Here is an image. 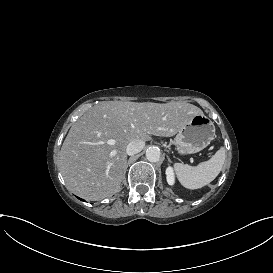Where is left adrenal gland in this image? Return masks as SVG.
Returning a JSON list of instances; mask_svg holds the SVG:
<instances>
[{
    "mask_svg": "<svg viewBox=\"0 0 273 273\" xmlns=\"http://www.w3.org/2000/svg\"><path fill=\"white\" fill-rule=\"evenodd\" d=\"M167 160H168L169 163H172V160H171L169 155H167Z\"/></svg>",
    "mask_w": 273,
    "mask_h": 273,
    "instance_id": "left-adrenal-gland-1",
    "label": "left adrenal gland"
}]
</instances>
